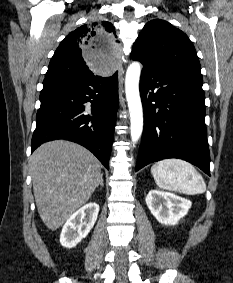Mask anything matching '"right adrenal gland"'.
I'll list each match as a JSON object with an SVG mask.
<instances>
[{"instance_id": "obj_1", "label": "right adrenal gland", "mask_w": 233, "mask_h": 283, "mask_svg": "<svg viewBox=\"0 0 233 283\" xmlns=\"http://www.w3.org/2000/svg\"><path fill=\"white\" fill-rule=\"evenodd\" d=\"M99 184H100V186H101V187H103V186H104V184H103V175H101L100 183H99Z\"/></svg>"}]
</instances>
